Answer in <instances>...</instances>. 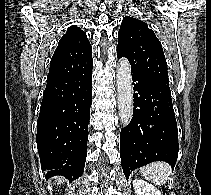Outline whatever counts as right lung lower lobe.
<instances>
[{"instance_id": "1", "label": "right lung lower lobe", "mask_w": 211, "mask_h": 195, "mask_svg": "<svg viewBox=\"0 0 211 195\" xmlns=\"http://www.w3.org/2000/svg\"><path fill=\"white\" fill-rule=\"evenodd\" d=\"M92 66L47 81L37 121V149L46 179L61 175L72 181L83 174L92 103Z\"/></svg>"}]
</instances>
